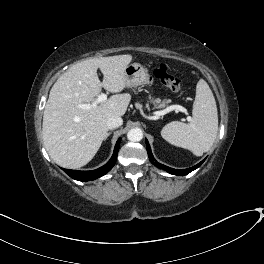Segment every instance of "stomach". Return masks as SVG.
Masks as SVG:
<instances>
[{
	"label": "stomach",
	"instance_id": "stomach-1",
	"mask_svg": "<svg viewBox=\"0 0 264 264\" xmlns=\"http://www.w3.org/2000/svg\"><path fill=\"white\" fill-rule=\"evenodd\" d=\"M149 74L145 67L140 63H133L125 69L126 86L136 88L149 82Z\"/></svg>",
	"mask_w": 264,
	"mask_h": 264
}]
</instances>
